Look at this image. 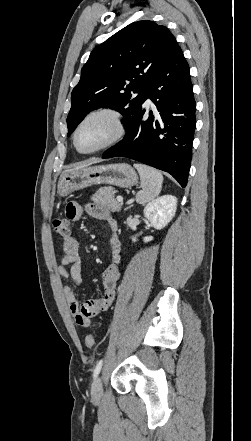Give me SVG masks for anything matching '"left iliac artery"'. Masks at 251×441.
<instances>
[{
  "label": "left iliac artery",
  "mask_w": 251,
  "mask_h": 441,
  "mask_svg": "<svg viewBox=\"0 0 251 441\" xmlns=\"http://www.w3.org/2000/svg\"><path fill=\"white\" fill-rule=\"evenodd\" d=\"M102 365H103V360L101 359V360L98 361V363H97V365H96V367L94 369V373H93V377L94 378H96L98 376V374H99V372H100V370L102 368Z\"/></svg>",
  "instance_id": "1"
}]
</instances>
